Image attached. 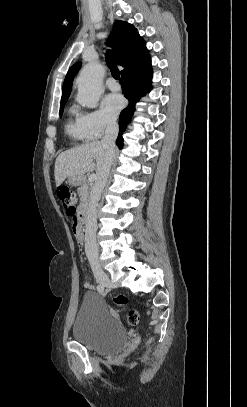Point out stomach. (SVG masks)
I'll list each match as a JSON object with an SVG mask.
<instances>
[{"label": "stomach", "instance_id": "0dacf381", "mask_svg": "<svg viewBox=\"0 0 247 407\" xmlns=\"http://www.w3.org/2000/svg\"><path fill=\"white\" fill-rule=\"evenodd\" d=\"M68 183L72 186H80L84 183L83 176H69Z\"/></svg>", "mask_w": 247, "mask_h": 407}]
</instances>
